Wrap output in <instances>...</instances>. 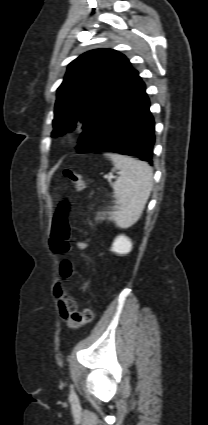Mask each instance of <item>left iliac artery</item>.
I'll list each match as a JSON object with an SVG mask.
<instances>
[{
    "label": "left iliac artery",
    "mask_w": 208,
    "mask_h": 425,
    "mask_svg": "<svg viewBox=\"0 0 208 425\" xmlns=\"http://www.w3.org/2000/svg\"><path fill=\"white\" fill-rule=\"evenodd\" d=\"M71 388H73V386L71 385ZM71 395L75 396V392L73 391V389L71 390Z\"/></svg>",
    "instance_id": "left-iliac-artery-1"
}]
</instances>
